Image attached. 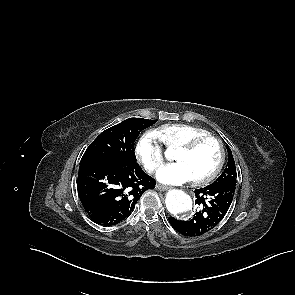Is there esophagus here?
<instances>
[{
  "label": "esophagus",
  "instance_id": "34e87169",
  "mask_svg": "<svg viewBox=\"0 0 295 295\" xmlns=\"http://www.w3.org/2000/svg\"><path fill=\"white\" fill-rule=\"evenodd\" d=\"M156 188H157L158 190H160V191H166V190L168 189L166 186L161 185V184H158V185L156 186Z\"/></svg>",
  "mask_w": 295,
  "mask_h": 295
}]
</instances>
